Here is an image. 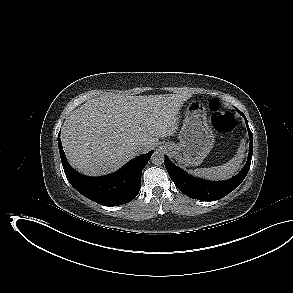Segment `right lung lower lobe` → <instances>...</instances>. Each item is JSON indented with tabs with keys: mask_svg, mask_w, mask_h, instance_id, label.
I'll return each mask as SVG.
<instances>
[{
	"mask_svg": "<svg viewBox=\"0 0 293 293\" xmlns=\"http://www.w3.org/2000/svg\"><path fill=\"white\" fill-rule=\"evenodd\" d=\"M58 145L65 175L70 184L88 199L105 206H117L132 201L141 188L142 169L153 151L129 161L120 170L102 177H87L69 165L64 154L60 135Z\"/></svg>",
	"mask_w": 293,
	"mask_h": 293,
	"instance_id": "98d812e1",
	"label": "right lung lower lobe"
}]
</instances>
